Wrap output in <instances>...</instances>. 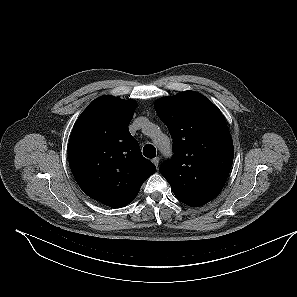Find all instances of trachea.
I'll return each mask as SVG.
<instances>
[{
  "label": "trachea",
  "mask_w": 297,
  "mask_h": 297,
  "mask_svg": "<svg viewBox=\"0 0 297 297\" xmlns=\"http://www.w3.org/2000/svg\"><path fill=\"white\" fill-rule=\"evenodd\" d=\"M143 154L147 158H154L156 156V149L153 145L146 144L143 148Z\"/></svg>",
  "instance_id": "3493384b"
}]
</instances>
